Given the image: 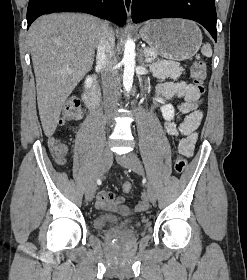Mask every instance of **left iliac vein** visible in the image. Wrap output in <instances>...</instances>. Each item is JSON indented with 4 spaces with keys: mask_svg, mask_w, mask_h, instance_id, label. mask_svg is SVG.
Instances as JSON below:
<instances>
[{
    "mask_svg": "<svg viewBox=\"0 0 247 280\" xmlns=\"http://www.w3.org/2000/svg\"><path fill=\"white\" fill-rule=\"evenodd\" d=\"M116 159L121 166L134 172L142 173L140 161L134 153H128L123 156H118ZM147 195L151 203H154L156 201V190L151 182H149L147 185Z\"/></svg>",
    "mask_w": 247,
    "mask_h": 280,
    "instance_id": "obj_1",
    "label": "left iliac vein"
}]
</instances>
